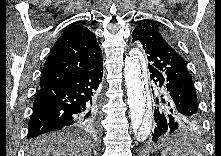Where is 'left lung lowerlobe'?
<instances>
[{
  "instance_id": "left-lung-lower-lobe-1",
  "label": "left lung lower lobe",
  "mask_w": 221,
  "mask_h": 156,
  "mask_svg": "<svg viewBox=\"0 0 221 156\" xmlns=\"http://www.w3.org/2000/svg\"><path fill=\"white\" fill-rule=\"evenodd\" d=\"M150 78L155 84L153 95L157 105L154 111L155 128L152 141L157 142L163 137L196 127L200 119L180 110L169 96L166 77L158 70H149Z\"/></svg>"
}]
</instances>
